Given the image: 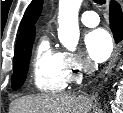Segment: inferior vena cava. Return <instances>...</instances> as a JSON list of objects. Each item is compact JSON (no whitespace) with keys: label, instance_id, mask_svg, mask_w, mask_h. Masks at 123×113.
<instances>
[{"label":"inferior vena cava","instance_id":"602c4592","mask_svg":"<svg viewBox=\"0 0 123 113\" xmlns=\"http://www.w3.org/2000/svg\"><path fill=\"white\" fill-rule=\"evenodd\" d=\"M94 71V67L91 64L87 65V74H91Z\"/></svg>","mask_w":123,"mask_h":113}]
</instances>
